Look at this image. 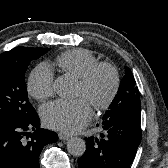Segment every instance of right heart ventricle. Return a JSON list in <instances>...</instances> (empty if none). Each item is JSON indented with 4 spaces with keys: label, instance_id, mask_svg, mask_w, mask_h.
<instances>
[{
    "label": "right heart ventricle",
    "instance_id": "1",
    "mask_svg": "<svg viewBox=\"0 0 168 168\" xmlns=\"http://www.w3.org/2000/svg\"><path fill=\"white\" fill-rule=\"evenodd\" d=\"M97 62L98 59L92 52L81 48L68 50L56 59V64L64 72L77 78L83 76Z\"/></svg>",
    "mask_w": 168,
    "mask_h": 168
}]
</instances>
